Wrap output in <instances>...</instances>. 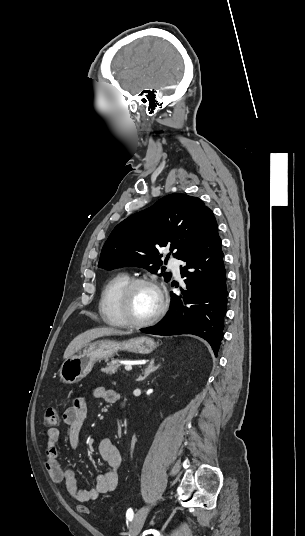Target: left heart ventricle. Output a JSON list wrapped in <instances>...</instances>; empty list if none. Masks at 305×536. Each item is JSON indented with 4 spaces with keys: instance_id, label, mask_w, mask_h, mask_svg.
<instances>
[{
    "instance_id": "1",
    "label": "left heart ventricle",
    "mask_w": 305,
    "mask_h": 536,
    "mask_svg": "<svg viewBox=\"0 0 305 536\" xmlns=\"http://www.w3.org/2000/svg\"><path fill=\"white\" fill-rule=\"evenodd\" d=\"M160 305L157 290L147 284L137 286L130 296L129 312L134 319H143L155 313Z\"/></svg>"
}]
</instances>
